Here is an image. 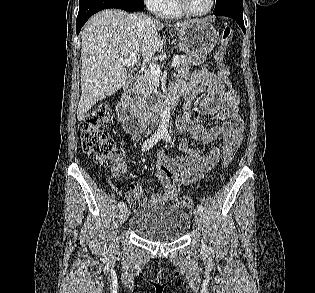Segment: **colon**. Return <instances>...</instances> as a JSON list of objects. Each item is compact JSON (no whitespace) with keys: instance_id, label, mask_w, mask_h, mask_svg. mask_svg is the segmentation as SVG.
Returning a JSON list of instances; mask_svg holds the SVG:
<instances>
[{"instance_id":"colon-1","label":"colon","mask_w":315,"mask_h":293,"mask_svg":"<svg viewBox=\"0 0 315 293\" xmlns=\"http://www.w3.org/2000/svg\"><path fill=\"white\" fill-rule=\"evenodd\" d=\"M233 36V30L230 26H226L221 33L220 46L215 53V59L218 67V77L221 79L222 85H227L230 93H235V86L232 85L233 80L229 78V68L224 63V55L226 45ZM110 118V109L107 105H100L96 109L90 111L81 124V145L84 153L95 161L110 160L113 164L112 171L116 174L121 170L123 165L122 158L115 155V142L110 135L101 129ZM230 164L229 158H224L222 161L223 168L228 167ZM129 190H137L130 187ZM180 206L185 208L193 207V200L187 195H180L177 198Z\"/></svg>"}]
</instances>
